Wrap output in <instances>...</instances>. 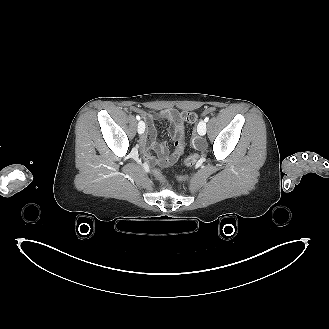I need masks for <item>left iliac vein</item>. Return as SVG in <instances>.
I'll use <instances>...</instances> for the list:
<instances>
[{"mask_svg": "<svg viewBox=\"0 0 329 329\" xmlns=\"http://www.w3.org/2000/svg\"><path fill=\"white\" fill-rule=\"evenodd\" d=\"M206 122L205 121H200L198 126H197V132L200 136H204L206 134Z\"/></svg>", "mask_w": 329, "mask_h": 329, "instance_id": "obj_1", "label": "left iliac vein"}]
</instances>
